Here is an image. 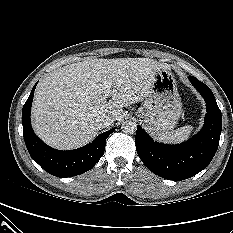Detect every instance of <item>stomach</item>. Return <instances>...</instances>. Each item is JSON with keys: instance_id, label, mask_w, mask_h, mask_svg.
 <instances>
[{"instance_id": "obj_1", "label": "stomach", "mask_w": 233, "mask_h": 233, "mask_svg": "<svg viewBox=\"0 0 233 233\" xmlns=\"http://www.w3.org/2000/svg\"><path fill=\"white\" fill-rule=\"evenodd\" d=\"M170 69H161L154 77L151 91L137 117L149 131L158 135L172 130L182 115V103Z\"/></svg>"}]
</instances>
